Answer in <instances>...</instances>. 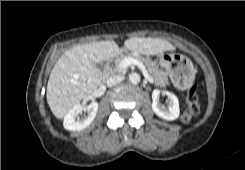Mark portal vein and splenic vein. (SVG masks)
I'll use <instances>...</instances> for the list:
<instances>
[{"mask_svg": "<svg viewBox=\"0 0 245 170\" xmlns=\"http://www.w3.org/2000/svg\"><path fill=\"white\" fill-rule=\"evenodd\" d=\"M131 65H136L143 73V75L149 80L151 81L152 78L149 76L145 66L143 65L142 62L138 61L135 58L132 57H126L124 58L119 64H118V68L120 69H126Z\"/></svg>", "mask_w": 245, "mask_h": 170, "instance_id": "portal-vein-and-splenic-vein-1", "label": "portal vein and splenic vein"}]
</instances>
